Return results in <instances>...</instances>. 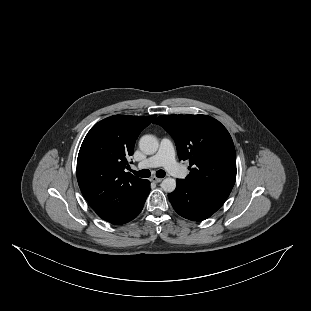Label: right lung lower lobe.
<instances>
[{
	"label": "right lung lower lobe",
	"mask_w": 311,
	"mask_h": 311,
	"mask_svg": "<svg viewBox=\"0 0 311 311\" xmlns=\"http://www.w3.org/2000/svg\"><path fill=\"white\" fill-rule=\"evenodd\" d=\"M149 192L150 182L144 180L142 187L124 207L102 219L114 225H121L133 220L141 212Z\"/></svg>",
	"instance_id": "obj_1"
}]
</instances>
